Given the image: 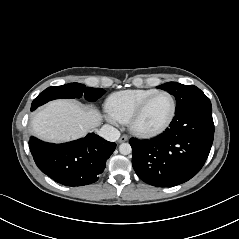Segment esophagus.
Returning <instances> with one entry per match:
<instances>
[{
  "mask_svg": "<svg viewBox=\"0 0 239 239\" xmlns=\"http://www.w3.org/2000/svg\"><path fill=\"white\" fill-rule=\"evenodd\" d=\"M127 140H128V136H127V135H122V136L119 138V143L126 142Z\"/></svg>",
  "mask_w": 239,
  "mask_h": 239,
  "instance_id": "obj_1",
  "label": "esophagus"
}]
</instances>
